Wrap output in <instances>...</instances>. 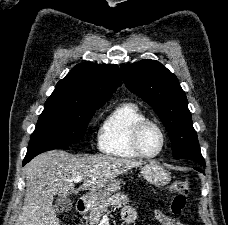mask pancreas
Returning <instances> with one entry per match:
<instances>
[{
    "instance_id": "cf45deb5",
    "label": "pancreas",
    "mask_w": 228,
    "mask_h": 225,
    "mask_svg": "<svg viewBox=\"0 0 228 225\" xmlns=\"http://www.w3.org/2000/svg\"><path fill=\"white\" fill-rule=\"evenodd\" d=\"M129 199L127 195H123V193H116V195H112V197H108V199H104V201H100L97 207H93L90 209V215L88 217L89 225H98L101 217L109 213L108 207H115V205H128Z\"/></svg>"
}]
</instances>
